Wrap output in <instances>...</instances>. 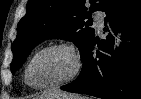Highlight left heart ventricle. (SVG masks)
Listing matches in <instances>:
<instances>
[{
  "label": "left heart ventricle",
  "instance_id": "left-heart-ventricle-1",
  "mask_svg": "<svg viewBox=\"0 0 141 99\" xmlns=\"http://www.w3.org/2000/svg\"><path fill=\"white\" fill-rule=\"evenodd\" d=\"M74 60L65 49H52L39 55L33 62L29 77L34 85L58 82L71 74Z\"/></svg>",
  "mask_w": 141,
  "mask_h": 99
}]
</instances>
